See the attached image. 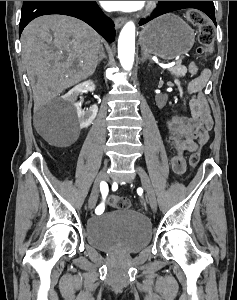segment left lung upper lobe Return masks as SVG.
Instances as JSON below:
<instances>
[{"label":"left lung upper lobe","mask_w":237,"mask_h":300,"mask_svg":"<svg viewBox=\"0 0 237 300\" xmlns=\"http://www.w3.org/2000/svg\"><path fill=\"white\" fill-rule=\"evenodd\" d=\"M166 3H168V1H159V8H158L157 12L152 17H150L148 20H151V19L165 13L168 8L166 6ZM148 20H142V21H140V24H145L146 22H148Z\"/></svg>","instance_id":"5c2ea615"}]
</instances>
